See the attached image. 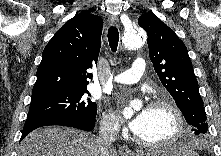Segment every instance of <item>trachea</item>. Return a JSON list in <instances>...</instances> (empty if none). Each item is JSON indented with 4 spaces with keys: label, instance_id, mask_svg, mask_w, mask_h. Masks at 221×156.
<instances>
[{
    "label": "trachea",
    "instance_id": "3493384b",
    "mask_svg": "<svg viewBox=\"0 0 221 156\" xmlns=\"http://www.w3.org/2000/svg\"><path fill=\"white\" fill-rule=\"evenodd\" d=\"M108 41L109 46L113 52H116L119 42V32L115 26H111L108 29Z\"/></svg>",
    "mask_w": 221,
    "mask_h": 156
}]
</instances>
